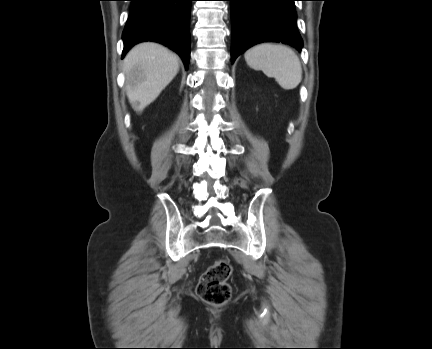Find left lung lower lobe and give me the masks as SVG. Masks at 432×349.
<instances>
[{
    "label": "left lung lower lobe",
    "mask_w": 432,
    "mask_h": 349,
    "mask_svg": "<svg viewBox=\"0 0 432 349\" xmlns=\"http://www.w3.org/2000/svg\"><path fill=\"white\" fill-rule=\"evenodd\" d=\"M231 2V60L255 44L282 42L301 51L295 0H228Z\"/></svg>",
    "instance_id": "left-lung-lower-lobe-1"
}]
</instances>
